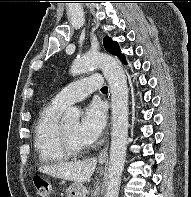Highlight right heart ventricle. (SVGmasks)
<instances>
[{
  "label": "right heart ventricle",
  "instance_id": "e07e8e85",
  "mask_svg": "<svg viewBox=\"0 0 191 197\" xmlns=\"http://www.w3.org/2000/svg\"><path fill=\"white\" fill-rule=\"evenodd\" d=\"M63 109L51 102L42 109L36 121L34 146L39 160L43 163H61L70 158L60 138L59 117Z\"/></svg>",
  "mask_w": 191,
  "mask_h": 197
}]
</instances>
